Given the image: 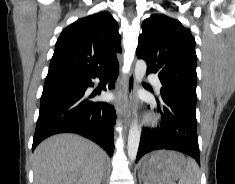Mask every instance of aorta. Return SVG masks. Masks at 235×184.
Returning <instances> with one entry per match:
<instances>
[{"instance_id": "1", "label": "aorta", "mask_w": 235, "mask_h": 184, "mask_svg": "<svg viewBox=\"0 0 235 184\" xmlns=\"http://www.w3.org/2000/svg\"><path fill=\"white\" fill-rule=\"evenodd\" d=\"M147 70V64L144 60H137L135 66V80L140 84L142 82ZM141 130L138 126L137 120L131 124L128 136L127 154L130 160H135L140 144Z\"/></svg>"}]
</instances>
